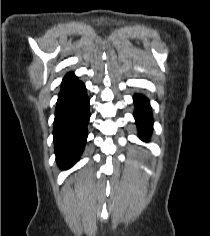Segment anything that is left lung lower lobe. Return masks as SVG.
<instances>
[{
	"instance_id": "obj_1",
	"label": "left lung lower lobe",
	"mask_w": 210,
	"mask_h": 236,
	"mask_svg": "<svg viewBox=\"0 0 210 236\" xmlns=\"http://www.w3.org/2000/svg\"><path fill=\"white\" fill-rule=\"evenodd\" d=\"M134 102L136 106L134 117L136 119V124L141 131L140 138L142 140H147L153 125L149 101L144 96L136 95L134 96Z\"/></svg>"
}]
</instances>
